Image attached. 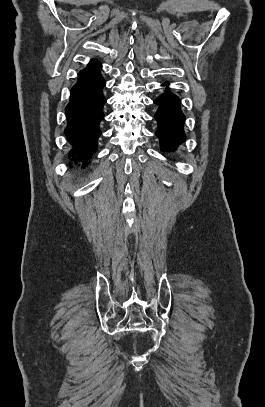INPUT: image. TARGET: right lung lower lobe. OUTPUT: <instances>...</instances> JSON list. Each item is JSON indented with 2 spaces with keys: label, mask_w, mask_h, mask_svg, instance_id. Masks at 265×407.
I'll return each instance as SVG.
<instances>
[{
  "label": "right lung lower lobe",
  "mask_w": 265,
  "mask_h": 407,
  "mask_svg": "<svg viewBox=\"0 0 265 407\" xmlns=\"http://www.w3.org/2000/svg\"><path fill=\"white\" fill-rule=\"evenodd\" d=\"M101 68L98 60H90L87 67L79 72L66 106L65 135L73 146L71 155L75 163L82 162L83 166L96 150L101 135L99 123L104 118L103 105L106 102L103 96L106 82L100 73Z\"/></svg>",
  "instance_id": "1"
}]
</instances>
